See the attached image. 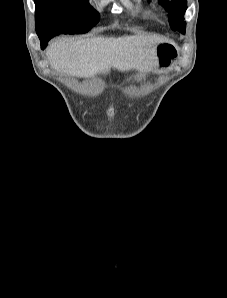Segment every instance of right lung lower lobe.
Segmentation results:
<instances>
[{
	"instance_id": "98d812e1",
	"label": "right lung lower lobe",
	"mask_w": 227,
	"mask_h": 298,
	"mask_svg": "<svg viewBox=\"0 0 227 298\" xmlns=\"http://www.w3.org/2000/svg\"><path fill=\"white\" fill-rule=\"evenodd\" d=\"M55 35H57V32H52V31H49L45 34L38 35L41 41V48L44 49L47 46L49 39H51Z\"/></svg>"
}]
</instances>
